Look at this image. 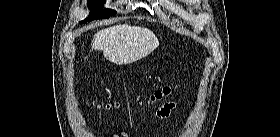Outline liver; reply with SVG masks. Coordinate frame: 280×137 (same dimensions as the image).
<instances>
[{
    "instance_id": "liver-1",
    "label": "liver",
    "mask_w": 280,
    "mask_h": 137,
    "mask_svg": "<svg viewBox=\"0 0 280 137\" xmlns=\"http://www.w3.org/2000/svg\"><path fill=\"white\" fill-rule=\"evenodd\" d=\"M158 46L159 40L151 30L127 24L98 31L91 43L92 51L102 50L108 61L118 65L136 62Z\"/></svg>"
}]
</instances>
